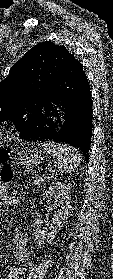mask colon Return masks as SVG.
Wrapping results in <instances>:
<instances>
[{"mask_svg": "<svg viewBox=\"0 0 113 279\" xmlns=\"http://www.w3.org/2000/svg\"><path fill=\"white\" fill-rule=\"evenodd\" d=\"M10 156L8 148L0 147V166L5 164ZM0 178L3 184L9 185L13 180V170L10 166H4L0 172Z\"/></svg>", "mask_w": 113, "mask_h": 279, "instance_id": "colon-1", "label": "colon"}]
</instances>
